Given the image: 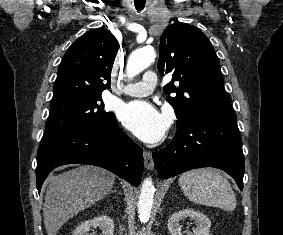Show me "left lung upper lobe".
Here are the masks:
<instances>
[{
    "label": "left lung upper lobe",
    "mask_w": 283,
    "mask_h": 235,
    "mask_svg": "<svg viewBox=\"0 0 283 235\" xmlns=\"http://www.w3.org/2000/svg\"><path fill=\"white\" fill-rule=\"evenodd\" d=\"M158 70L173 76L164 92L178 119L177 128L201 119L234 115L218 57L198 28L182 22L166 28L160 39Z\"/></svg>",
    "instance_id": "obj_1"
}]
</instances>
